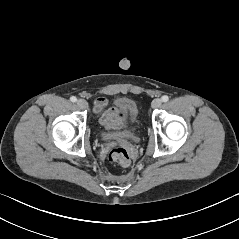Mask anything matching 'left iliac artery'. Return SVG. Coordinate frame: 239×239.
Returning <instances> with one entry per match:
<instances>
[{"mask_svg": "<svg viewBox=\"0 0 239 239\" xmlns=\"http://www.w3.org/2000/svg\"><path fill=\"white\" fill-rule=\"evenodd\" d=\"M162 101L167 102L169 100V97L167 95L162 96Z\"/></svg>", "mask_w": 239, "mask_h": 239, "instance_id": "44dca946", "label": "left iliac artery"}]
</instances>
